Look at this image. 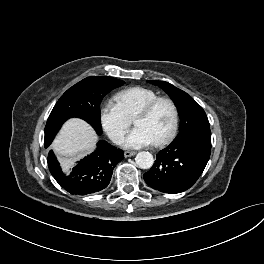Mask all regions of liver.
Wrapping results in <instances>:
<instances>
[{
	"mask_svg": "<svg viewBox=\"0 0 264 264\" xmlns=\"http://www.w3.org/2000/svg\"><path fill=\"white\" fill-rule=\"evenodd\" d=\"M98 136L84 120L69 119L53 141L51 148L59 156L64 169H68L83 155L95 149Z\"/></svg>",
	"mask_w": 264,
	"mask_h": 264,
	"instance_id": "1",
	"label": "liver"
}]
</instances>
